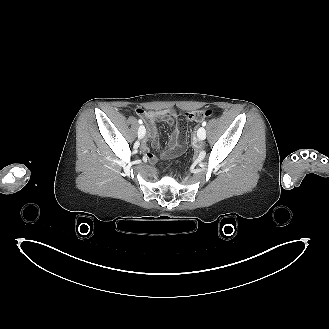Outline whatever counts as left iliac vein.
<instances>
[{
    "label": "left iliac vein",
    "mask_w": 329,
    "mask_h": 329,
    "mask_svg": "<svg viewBox=\"0 0 329 329\" xmlns=\"http://www.w3.org/2000/svg\"><path fill=\"white\" fill-rule=\"evenodd\" d=\"M197 137L199 141H203L206 138V130L204 127H200L197 131Z\"/></svg>",
    "instance_id": "4c4485c4"
}]
</instances>
